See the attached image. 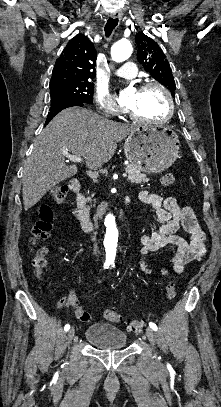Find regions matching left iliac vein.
I'll return each mask as SVG.
<instances>
[{
    "instance_id": "1",
    "label": "left iliac vein",
    "mask_w": 221,
    "mask_h": 407,
    "mask_svg": "<svg viewBox=\"0 0 221 407\" xmlns=\"http://www.w3.org/2000/svg\"><path fill=\"white\" fill-rule=\"evenodd\" d=\"M146 335H147V338H148V340L150 341L151 345H152L153 348H154V345H155V335H154L153 329H152V328H147V329H146ZM155 356H156V353H155Z\"/></svg>"
}]
</instances>
